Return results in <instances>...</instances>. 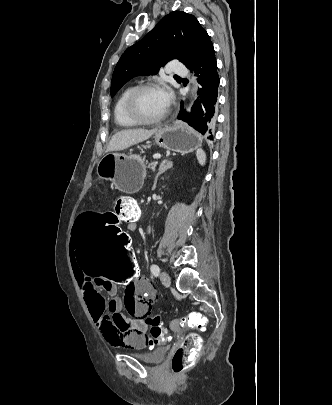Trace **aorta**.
Masks as SVG:
<instances>
[{"label":"aorta","instance_id":"aorta-1","mask_svg":"<svg viewBox=\"0 0 332 405\" xmlns=\"http://www.w3.org/2000/svg\"><path fill=\"white\" fill-rule=\"evenodd\" d=\"M193 92L196 94V87L193 88Z\"/></svg>","mask_w":332,"mask_h":405}]
</instances>
